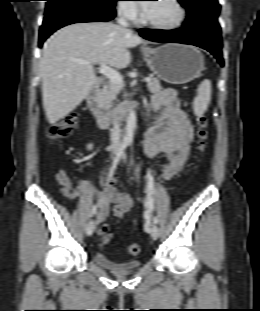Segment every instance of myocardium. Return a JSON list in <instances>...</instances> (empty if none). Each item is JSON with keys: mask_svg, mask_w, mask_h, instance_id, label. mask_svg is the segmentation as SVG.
Listing matches in <instances>:
<instances>
[{"mask_svg": "<svg viewBox=\"0 0 260 311\" xmlns=\"http://www.w3.org/2000/svg\"><path fill=\"white\" fill-rule=\"evenodd\" d=\"M170 2L176 7L178 10V18L170 24H157L150 21L147 18L146 13L144 12L142 15V23L152 29L159 30V31H173L179 29L185 22L187 17V11L180 0H170Z\"/></svg>", "mask_w": 260, "mask_h": 311, "instance_id": "obj_1", "label": "myocardium"}]
</instances>
